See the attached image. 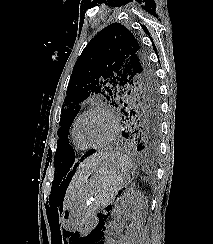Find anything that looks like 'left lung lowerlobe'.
I'll list each match as a JSON object with an SVG mask.
<instances>
[{
  "label": "left lung lower lobe",
  "mask_w": 213,
  "mask_h": 244,
  "mask_svg": "<svg viewBox=\"0 0 213 244\" xmlns=\"http://www.w3.org/2000/svg\"><path fill=\"white\" fill-rule=\"evenodd\" d=\"M124 130L122 136L129 141L132 148L135 151L140 152L147 157H154L157 154L158 147V132L159 125H153L151 122L147 124H139L136 120L133 121L129 116H123ZM91 150L81 157V161L85 157L93 154ZM78 166V163L74 165L73 170Z\"/></svg>",
  "instance_id": "0a47b994"
}]
</instances>
